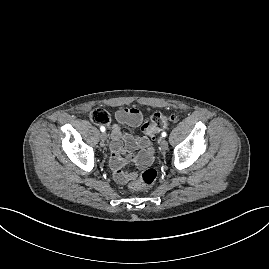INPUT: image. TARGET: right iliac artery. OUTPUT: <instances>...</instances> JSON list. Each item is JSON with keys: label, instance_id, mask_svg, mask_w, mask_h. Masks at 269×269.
I'll return each instance as SVG.
<instances>
[{"label": "right iliac artery", "instance_id": "obj_1", "mask_svg": "<svg viewBox=\"0 0 269 269\" xmlns=\"http://www.w3.org/2000/svg\"><path fill=\"white\" fill-rule=\"evenodd\" d=\"M100 130H101L102 132H105V127H104V126H101V127H100Z\"/></svg>", "mask_w": 269, "mask_h": 269}]
</instances>
